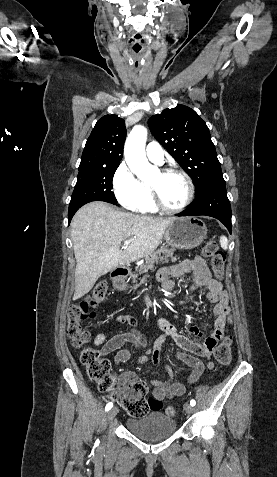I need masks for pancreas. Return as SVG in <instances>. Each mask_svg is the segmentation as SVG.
<instances>
[{"mask_svg":"<svg viewBox=\"0 0 277 477\" xmlns=\"http://www.w3.org/2000/svg\"><path fill=\"white\" fill-rule=\"evenodd\" d=\"M178 258L174 256V249L160 248L156 252L146 257L145 264H142L137 270V274H132L134 288L138 286L137 277L141 274H147L149 270H153L155 263H168L170 260L175 262ZM147 276V275H146Z\"/></svg>","mask_w":277,"mask_h":477,"instance_id":"1","label":"pancreas"}]
</instances>
